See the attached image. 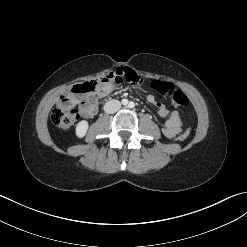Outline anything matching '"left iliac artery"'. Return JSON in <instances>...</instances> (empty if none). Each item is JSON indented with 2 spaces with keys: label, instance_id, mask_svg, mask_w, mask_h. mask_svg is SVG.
Here are the masks:
<instances>
[{
  "label": "left iliac artery",
  "instance_id": "44dca946",
  "mask_svg": "<svg viewBox=\"0 0 247 247\" xmlns=\"http://www.w3.org/2000/svg\"><path fill=\"white\" fill-rule=\"evenodd\" d=\"M134 106H135L134 102H130V103H129V107H130V108H133Z\"/></svg>",
  "mask_w": 247,
  "mask_h": 247
}]
</instances>
